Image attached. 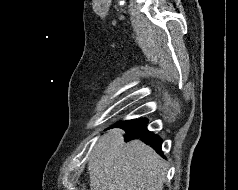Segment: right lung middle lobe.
I'll return each instance as SVG.
<instances>
[{
    "instance_id": "right-lung-middle-lobe-1",
    "label": "right lung middle lobe",
    "mask_w": 238,
    "mask_h": 190,
    "mask_svg": "<svg viewBox=\"0 0 238 190\" xmlns=\"http://www.w3.org/2000/svg\"><path fill=\"white\" fill-rule=\"evenodd\" d=\"M130 121H131V120H130ZM125 122H128V121H121V122H118L117 124L113 125V127L118 126V125H120V124H123V123H125Z\"/></svg>"
}]
</instances>
